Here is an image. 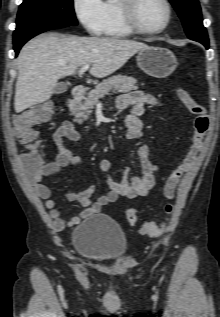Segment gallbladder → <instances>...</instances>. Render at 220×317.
Segmentation results:
<instances>
[{
	"label": "gallbladder",
	"mask_w": 220,
	"mask_h": 317,
	"mask_svg": "<svg viewBox=\"0 0 220 317\" xmlns=\"http://www.w3.org/2000/svg\"><path fill=\"white\" fill-rule=\"evenodd\" d=\"M68 89V85L65 83V82H61V83H58L56 85V87L54 88L53 90V93L55 94H61V93H64L66 92Z\"/></svg>",
	"instance_id": "bac80fb5"
}]
</instances>
